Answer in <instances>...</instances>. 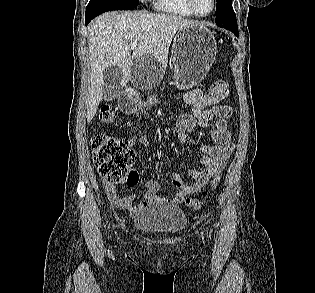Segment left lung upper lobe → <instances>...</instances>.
<instances>
[{"mask_svg":"<svg viewBox=\"0 0 315 293\" xmlns=\"http://www.w3.org/2000/svg\"><path fill=\"white\" fill-rule=\"evenodd\" d=\"M215 22L218 26L228 29L238 36V26L232 0H217Z\"/></svg>","mask_w":315,"mask_h":293,"instance_id":"left-lung-upper-lobe-1","label":"left lung upper lobe"}]
</instances>
